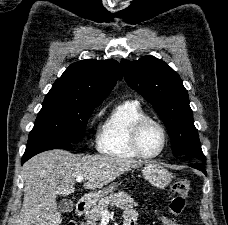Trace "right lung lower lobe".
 Listing matches in <instances>:
<instances>
[{
	"label": "right lung lower lobe",
	"mask_w": 228,
	"mask_h": 225,
	"mask_svg": "<svg viewBox=\"0 0 228 225\" xmlns=\"http://www.w3.org/2000/svg\"><path fill=\"white\" fill-rule=\"evenodd\" d=\"M58 148L73 150L71 143L63 140H45L34 144H29L26 147L21 164L40 152Z\"/></svg>",
	"instance_id": "1"
}]
</instances>
